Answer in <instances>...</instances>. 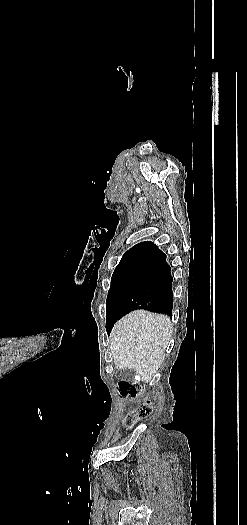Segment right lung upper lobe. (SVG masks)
Here are the masks:
<instances>
[{
    "instance_id": "1",
    "label": "right lung upper lobe",
    "mask_w": 247,
    "mask_h": 525,
    "mask_svg": "<svg viewBox=\"0 0 247 525\" xmlns=\"http://www.w3.org/2000/svg\"><path fill=\"white\" fill-rule=\"evenodd\" d=\"M162 254V251L150 241L141 242L129 249L115 268V271H123L136 268L147 263L151 258Z\"/></svg>"
}]
</instances>
